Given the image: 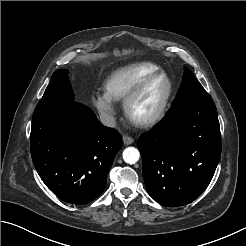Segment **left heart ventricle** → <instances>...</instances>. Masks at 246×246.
<instances>
[{
  "label": "left heart ventricle",
  "mask_w": 246,
  "mask_h": 246,
  "mask_svg": "<svg viewBox=\"0 0 246 246\" xmlns=\"http://www.w3.org/2000/svg\"><path fill=\"white\" fill-rule=\"evenodd\" d=\"M168 91L166 78L159 77L153 80L135 101L132 111L138 118L153 115L161 106Z\"/></svg>",
  "instance_id": "1"
}]
</instances>
